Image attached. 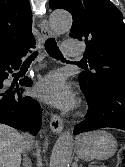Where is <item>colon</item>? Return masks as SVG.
Listing matches in <instances>:
<instances>
[{
	"label": "colon",
	"instance_id": "1",
	"mask_svg": "<svg viewBox=\"0 0 125 167\" xmlns=\"http://www.w3.org/2000/svg\"><path fill=\"white\" fill-rule=\"evenodd\" d=\"M117 167H125V145L120 148Z\"/></svg>",
	"mask_w": 125,
	"mask_h": 167
}]
</instances>
